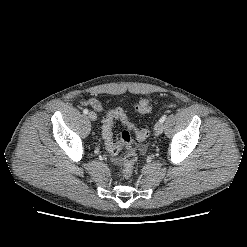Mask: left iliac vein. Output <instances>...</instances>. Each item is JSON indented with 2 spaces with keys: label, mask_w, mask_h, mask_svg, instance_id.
<instances>
[{
  "label": "left iliac vein",
  "mask_w": 247,
  "mask_h": 247,
  "mask_svg": "<svg viewBox=\"0 0 247 247\" xmlns=\"http://www.w3.org/2000/svg\"><path fill=\"white\" fill-rule=\"evenodd\" d=\"M155 133L157 135L161 134L163 132V122H161L160 120L155 124L154 127Z\"/></svg>",
  "instance_id": "obj_1"
}]
</instances>
